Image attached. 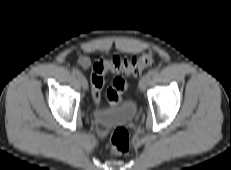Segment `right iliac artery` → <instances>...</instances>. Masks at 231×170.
<instances>
[{
    "instance_id": "82829eb1",
    "label": "right iliac artery",
    "mask_w": 231,
    "mask_h": 170,
    "mask_svg": "<svg viewBox=\"0 0 231 170\" xmlns=\"http://www.w3.org/2000/svg\"><path fill=\"white\" fill-rule=\"evenodd\" d=\"M72 74H73L74 76H78V75H80V72H79L78 69H73V70H72Z\"/></svg>"
}]
</instances>
